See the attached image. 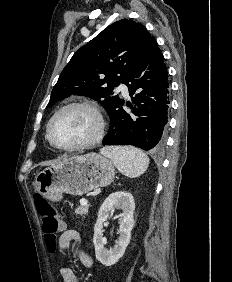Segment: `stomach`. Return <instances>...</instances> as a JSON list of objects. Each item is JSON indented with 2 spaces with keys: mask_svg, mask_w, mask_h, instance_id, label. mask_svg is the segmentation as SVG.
<instances>
[{
  "mask_svg": "<svg viewBox=\"0 0 232 282\" xmlns=\"http://www.w3.org/2000/svg\"><path fill=\"white\" fill-rule=\"evenodd\" d=\"M114 164L97 153L64 158L39 172L34 181L36 191L51 201L62 199L63 193L82 196L111 184Z\"/></svg>",
  "mask_w": 232,
  "mask_h": 282,
  "instance_id": "obj_1",
  "label": "stomach"
}]
</instances>
